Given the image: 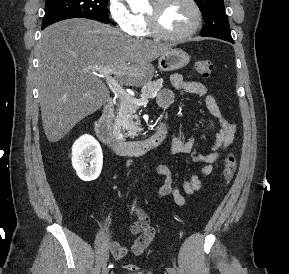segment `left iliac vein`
Instances as JSON below:
<instances>
[{"mask_svg":"<svg viewBox=\"0 0 289 274\" xmlns=\"http://www.w3.org/2000/svg\"><path fill=\"white\" fill-rule=\"evenodd\" d=\"M168 273H169V274H177V272H176V270H175L174 268H170V269L168 270Z\"/></svg>","mask_w":289,"mask_h":274,"instance_id":"obj_1","label":"left iliac vein"}]
</instances>
